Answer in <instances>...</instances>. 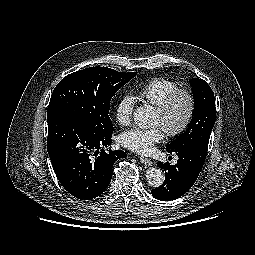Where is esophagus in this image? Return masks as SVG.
<instances>
[{"mask_svg":"<svg viewBox=\"0 0 255 255\" xmlns=\"http://www.w3.org/2000/svg\"><path fill=\"white\" fill-rule=\"evenodd\" d=\"M140 162L146 166H151L153 164L152 160L151 159H148V158H143V157H140L139 158Z\"/></svg>","mask_w":255,"mask_h":255,"instance_id":"esophagus-1","label":"esophagus"}]
</instances>
